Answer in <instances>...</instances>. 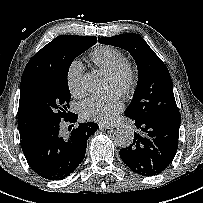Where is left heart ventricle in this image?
Wrapping results in <instances>:
<instances>
[{
    "instance_id": "left-heart-ventricle-1",
    "label": "left heart ventricle",
    "mask_w": 203,
    "mask_h": 203,
    "mask_svg": "<svg viewBox=\"0 0 203 203\" xmlns=\"http://www.w3.org/2000/svg\"><path fill=\"white\" fill-rule=\"evenodd\" d=\"M112 81L116 88L122 89L125 85L126 79L125 77L121 76V77L113 78Z\"/></svg>"
}]
</instances>
